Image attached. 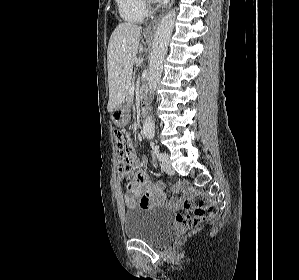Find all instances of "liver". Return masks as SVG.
Returning <instances> with one entry per match:
<instances>
[{
    "mask_svg": "<svg viewBox=\"0 0 299 280\" xmlns=\"http://www.w3.org/2000/svg\"><path fill=\"white\" fill-rule=\"evenodd\" d=\"M140 38V26L132 23H120L114 29L109 39L107 49L109 77L108 112H113L125 99Z\"/></svg>",
    "mask_w": 299,
    "mask_h": 280,
    "instance_id": "obj_1",
    "label": "liver"
}]
</instances>
